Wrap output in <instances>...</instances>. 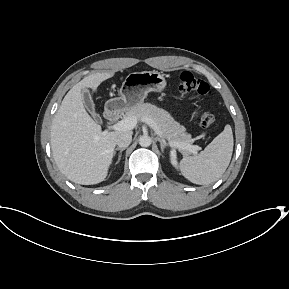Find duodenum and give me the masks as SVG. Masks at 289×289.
I'll return each instance as SVG.
<instances>
[{
    "mask_svg": "<svg viewBox=\"0 0 289 289\" xmlns=\"http://www.w3.org/2000/svg\"><path fill=\"white\" fill-rule=\"evenodd\" d=\"M105 116L107 120L114 122L120 118L121 111L116 105H110L106 109Z\"/></svg>",
    "mask_w": 289,
    "mask_h": 289,
    "instance_id": "obj_1",
    "label": "duodenum"
}]
</instances>
